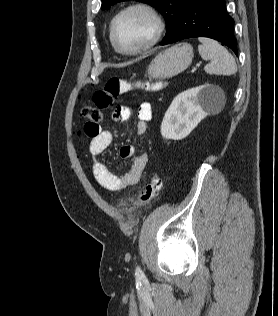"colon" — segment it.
<instances>
[{
  "label": "colon",
  "mask_w": 278,
  "mask_h": 316,
  "mask_svg": "<svg viewBox=\"0 0 278 316\" xmlns=\"http://www.w3.org/2000/svg\"><path fill=\"white\" fill-rule=\"evenodd\" d=\"M159 87L160 84L158 83H131L118 77H110L101 89L94 92L93 102L95 106H85L80 111V119L85 122L83 129L85 135L93 136L98 133L100 122L103 119L102 111L114 106L119 95L127 93L133 88L155 91ZM161 189V178L157 174H153L146 183L144 190L135 199L134 203L138 206L150 204L159 196Z\"/></svg>",
  "instance_id": "5ec220e1"
}]
</instances>
